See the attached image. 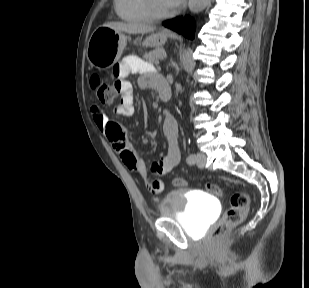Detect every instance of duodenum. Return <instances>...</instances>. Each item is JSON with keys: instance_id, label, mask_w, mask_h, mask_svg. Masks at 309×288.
Segmentation results:
<instances>
[{"instance_id": "obj_1", "label": "duodenum", "mask_w": 309, "mask_h": 288, "mask_svg": "<svg viewBox=\"0 0 309 288\" xmlns=\"http://www.w3.org/2000/svg\"><path fill=\"white\" fill-rule=\"evenodd\" d=\"M159 95L163 101H169L171 99V90L165 80L159 86Z\"/></svg>"}]
</instances>
